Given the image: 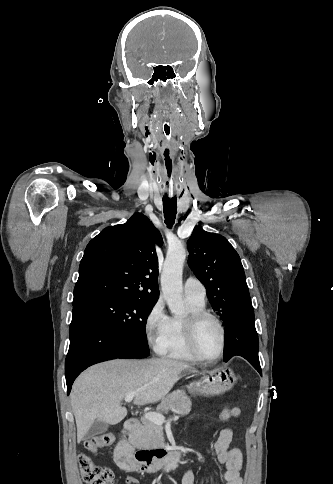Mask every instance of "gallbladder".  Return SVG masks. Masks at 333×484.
<instances>
[{"instance_id":"obj_1","label":"gallbladder","mask_w":333,"mask_h":484,"mask_svg":"<svg viewBox=\"0 0 333 484\" xmlns=\"http://www.w3.org/2000/svg\"><path fill=\"white\" fill-rule=\"evenodd\" d=\"M109 425L106 422L96 420L89 428L88 432L86 433L84 439L88 440L92 437L97 435H101L108 430Z\"/></svg>"}]
</instances>
